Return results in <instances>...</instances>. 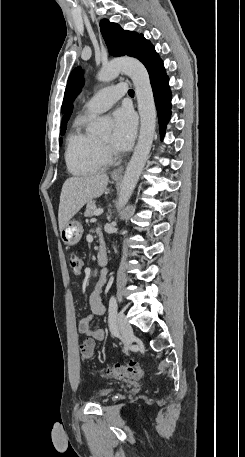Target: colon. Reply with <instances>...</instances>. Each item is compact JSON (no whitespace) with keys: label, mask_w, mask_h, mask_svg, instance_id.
<instances>
[{"label":"colon","mask_w":245,"mask_h":457,"mask_svg":"<svg viewBox=\"0 0 245 457\" xmlns=\"http://www.w3.org/2000/svg\"><path fill=\"white\" fill-rule=\"evenodd\" d=\"M67 262L72 274L80 275L82 272L83 263L76 252L69 251L67 253ZM80 355L83 359H90L94 354V342L87 339L80 344ZM105 375L113 379H139L144 375L142 366L137 362H129L125 365H116L105 371Z\"/></svg>","instance_id":"colon-1"}]
</instances>
